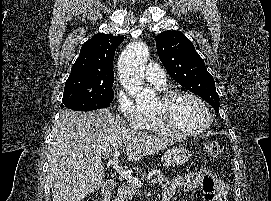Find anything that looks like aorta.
I'll list each match as a JSON object with an SVG mask.
<instances>
[{
	"instance_id": "obj_1",
	"label": "aorta",
	"mask_w": 271,
	"mask_h": 201,
	"mask_svg": "<svg viewBox=\"0 0 271 201\" xmlns=\"http://www.w3.org/2000/svg\"><path fill=\"white\" fill-rule=\"evenodd\" d=\"M148 60V48L144 42L136 41L126 46L118 59V71L126 91L140 106L155 102V93L143 87V77Z\"/></svg>"
}]
</instances>
